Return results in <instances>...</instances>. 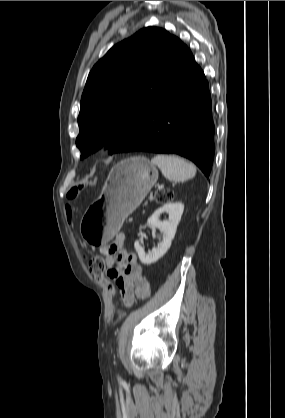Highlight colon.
Masks as SVG:
<instances>
[{"mask_svg":"<svg viewBox=\"0 0 285 418\" xmlns=\"http://www.w3.org/2000/svg\"><path fill=\"white\" fill-rule=\"evenodd\" d=\"M155 198L159 202H166L172 198V194L168 190H160L156 192ZM71 218H69V221ZM88 261L90 269L97 276L101 284L106 288L110 295L114 294V285L111 277L106 276V264L104 258L101 255H95Z\"/></svg>","mask_w":285,"mask_h":418,"instance_id":"1","label":"colon"}]
</instances>
